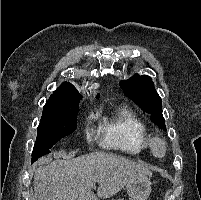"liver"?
I'll return each mask as SVG.
<instances>
[{
    "label": "liver",
    "mask_w": 201,
    "mask_h": 200,
    "mask_svg": "<svg viewBox=\"0 0 201 200\" xmlns=\"http://www.w3.org/2000/svg\"><path fill=\"white\" fill-rule=\"evenodd\" d=\"M151 174L141 164L104 152L51 163L44 160L34 175V200L105 199L117 194L128 182ZM95 183L99 184L98 197L92 192Z\"/></svg>",
    "instance_id": "6515ba94"
}]
</instances>
